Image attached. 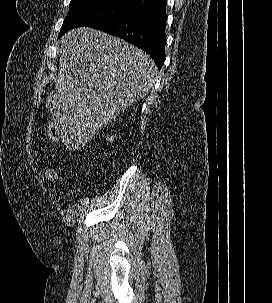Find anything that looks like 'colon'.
<instances>
[{"label":"colon","instance_id":"5ec220e1","mask_svg":"<svg viewBox=\"0 0 272 303\" xmlns=\"http://www.w3.org/2000/svg\"><path fill=\"white\" fill-rule=\"evenodd\" d=\"M47 135L51 142H56L59 139V129L56 121L51 120L47 126ZM43 176L48 181H55L58 178V170L55 166H46L43 170Z\"/></svg>","mask_w":272,"mask_h":303}]
</instances>
